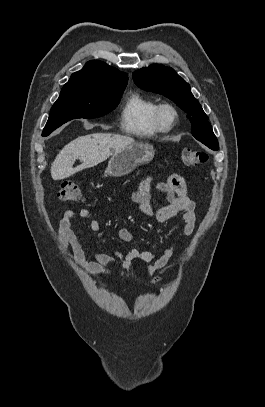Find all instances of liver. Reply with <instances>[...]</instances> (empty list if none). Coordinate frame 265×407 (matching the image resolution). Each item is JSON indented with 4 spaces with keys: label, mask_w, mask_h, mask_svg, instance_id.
Wrapping results in <instances>:
<instances>
[{
    "label": "liver",
    "mask_w": 265,
    "mask_h": 407,
    "mask_svg": "<svg viewBox=\"0 0 265 407\" xmlns=\"http://www.w3.org/2000/svg\"><path fill=\"white\" fill-rule=\"evenodd\" d=\"M131 137L110 133H94L78 137L68 143L56 156L51 165L53 180H62L75 173L98 165L115 152L134 144ZM76 159L82 164L73 167Z\"/></svg>",
    "instance_id": "1"
}]
</instances>
